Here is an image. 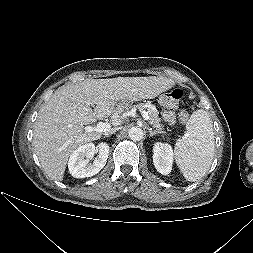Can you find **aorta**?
Listing matches in <instances>:
<instances>
[{"label":"aorta","instance_id":"1","mask_svg":"<svg viewBox=\"0 0 253 253\" xmlns=\"http://www.w3.org/2000/svg\"><path fill=\"white\" fill-rule=\"evenodd\" d=\"M128 136L132 141H140L144 137V131L140 127H132L128 132Z\"/></svg>","mask_w":253,"mask_h":253}]
</instances>
